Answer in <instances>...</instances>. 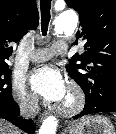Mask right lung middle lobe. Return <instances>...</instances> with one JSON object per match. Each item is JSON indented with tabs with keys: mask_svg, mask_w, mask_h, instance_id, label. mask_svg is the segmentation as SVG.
<instances>
[{
	"mask_svg": "<svg viewBox=\"0 0 116 134\" xmlns=\"http://www.w3.org/2000/svg\"><path fill=\"white\" fill-rule=\"evenodd\" d=\"M11 87V70L8 65L0 67V106L13 103Z\"/></svg>",
	"mask_w": 116,
	"mask_h": 134,
	"instance_id": "dd1d6c3e",
	"label": "right lung middle lobe"
}]
</instances>
